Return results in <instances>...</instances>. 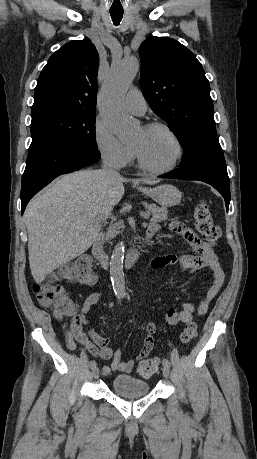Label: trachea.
I'll return each instance as SVG.
<instances>
[{
    "instance_id": "obj_1",
    "label": "trachea",
    "mask_w": 257,
    "mask_h": 459,
    "mask_svg": "<svg viewBox=\"0 0 257 459\" xmlns=\"http://www.w3.org/2000/svg\"><path fill=\"white\" fill-rule=\"evenodd\" d=\"M110 15L114 25H119L123 17V11H110Z\"/></svg>"
}]
</instances>
